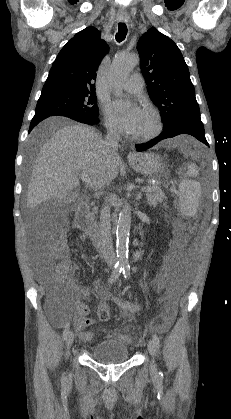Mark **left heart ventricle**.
<instances>
[{
	"label": "left heart ventricle",
	"mask_w": 231,
	"mask_h": 419,
	"mask_svg": "<svg viewBox=\"0 0 231 419\" xmlns=\"http://www.w3.org/2000/svg\"><path fill=\"white\" fill-rule=\"evenodd\" d=\"M154 126L152 117L145 111L144 115L139 123L136 135L145 134L152 130Z\"/></svg>",
	"instance_id": "obj_1"
}]
</instances>
